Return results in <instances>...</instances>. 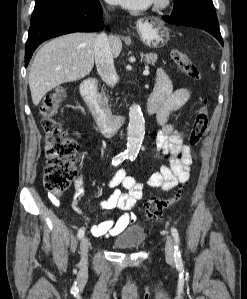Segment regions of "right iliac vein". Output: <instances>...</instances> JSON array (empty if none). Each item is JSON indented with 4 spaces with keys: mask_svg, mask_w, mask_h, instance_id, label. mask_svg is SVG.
<instances>
[{
    "mask_svg": "<svg viewBox=\"0 0 247 299\" xmlns=\"http://www.w3.org/2000/svg\"><path fill=\"white\" fill-rule=\"evenodd\" d=\"M89 240L86 236L82 237L80 241V252H81V265L82 267H85L87 264V255H88V249H89Z\"/></svg>",
    "mask_w": 247,
    "mask_h": 299,
    "instance_id": "63e3f726",
    "label": "right iliac vein"
}]
</instances>
